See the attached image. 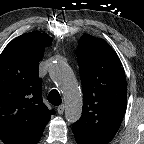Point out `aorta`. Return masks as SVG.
<instances>
[{
	"label": "aorta",
	"instance_id": "aorta-1",
	"mask_svg": "<svg viewBox=\"0 0 144 144\" xmlns=\"http://www.w3.org/2000/svg\"><path fill=\"white\" fill-rule=\"evenodd\" d=\"M49 75L64 97L66 120L70 123L78 121L82 113V97L72 69L65 62H55L49 68Z\"/></svg>",
	"mask_w": 144,
	"mask_h": 144
}]
</instances>
